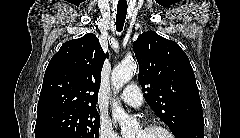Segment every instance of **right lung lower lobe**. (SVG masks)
<instances>
[{
    "label": "right lung lower lobe",
    "instance_id": "98d812e1",
    "mask_svg": "<svg viewBox=\"0 0 240 138\" xmlns=\"http://www.w3.org/2000/svg\"><path fill=\"white\" fill-rule=\"evenodd\" d=\"M35 138H69L65 135L62 134H40V135H35Z\"/></svg>",
    "mask_w": 240,
    "mask_h": 138
}]
</instances>
